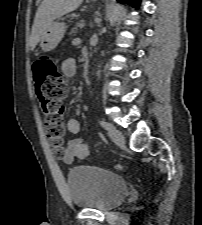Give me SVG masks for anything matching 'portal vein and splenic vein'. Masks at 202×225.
<instances>
[{
  "mask_svg": "<svg viewBox=\"0 0 202 225\" xmlns=\"http://www.w3.org/2000/svg\"><path fill=\"white\" fill-rule=\"evenodd\" d=\"M77 43H80V39L79 38H76L73 40V44H77Z\"/></svg>",
  "mask_w": 202,
  "mask_h": 225,
  "instance_id": "1",
  "label": "portal vein and splenic vein"
}]
</instances>
